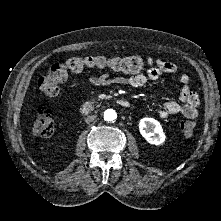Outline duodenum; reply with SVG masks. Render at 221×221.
I'll return each instance as SVG.
<instances>
[{
    "mask_svg": "<svg viewBox=\"0 0 221 221\" xmlns=\"http://www.w3.org/2000/svg\"><path fill=\"white\" fill-rule=\"evenodd\" d=\"M115 103L123 108H129L130 102L127 99L124 98H115ZM95 103L93 101H87L83 103L80 107V113L84 115L91 114L94 111Z\"/></svg>",
    "mask_w": 221,
    "mask_h": 221,
    "instance_id": "obj_1",
    "label": "duodenum"
}]
</instances>
